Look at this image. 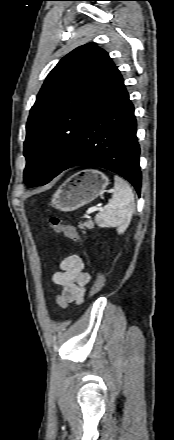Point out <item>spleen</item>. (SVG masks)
<instances>
[{"mask_svg": "<svg viewBox=\"0 0 174 440\" xmlns=\"http://www.w3.org/2000/svg\"><path fill=\"white\" fill-rule=\"evenodd\" d=\"M114 194L105 210L99 212L95 221L100 227H115L118 234L123 233L134 212V195L130 185L121 177L115 176Z\"/></svg>", "mask_w": 174, "mask_h": 440, "instance_id": "3e777b00", "label": "spleen"}]
</instances>
